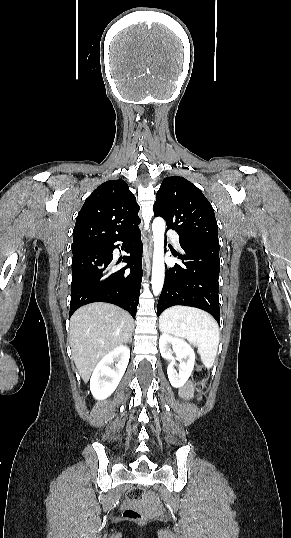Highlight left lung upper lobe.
Masks as SVG:
<instances>
[{"label": "left lung upper lobe", "instance_id": "1", "mask_svg": "<svg viewBox=\"0 0 291 538\" xmlns=\"http://www.w3.org/2000/svg\"><path fill=\"white\" fill-rule=\"evenodd\" d=\"M154 215L166 220L167 229L179 234L182 242L219 245L214 210L203 193L183 177L163 180L153 206Z\"/></svg>", "mask_w": 291, "mask_h": 538}]
</instances>
